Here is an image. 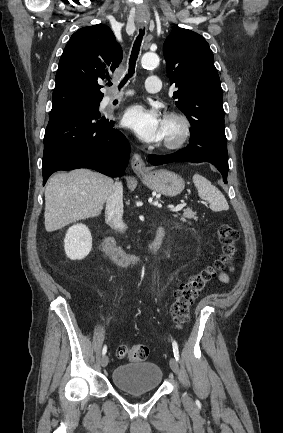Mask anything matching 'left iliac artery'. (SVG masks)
Returning a JSON list of instances; mask_svg holds the SVG:
<instances>
[{"label": "left iliac artery", "instance_id": "obj_1", "mask_svg": "<svg viewBox=\"0 0 283 433\" xmlns=\"http://www.w3.org/2000/svg\"><path fill=\"white\" fill-rule=\"evenodd\" d=\"M172 347H173L174 357H175L176 361H179V350H178V345H177L176 341L172 342Z\"/></svg>", "mask_w": 283, "mask_h": 433}]
</instances>
